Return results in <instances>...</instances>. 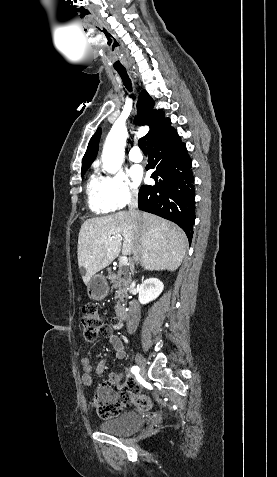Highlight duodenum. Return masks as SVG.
I'll list each match as a JSON object with an SVG mask.
<instances>
[{"label":"duodenum","mask_w":277,"mask_h":477,"mask_svg":"<svg viewBox=\"0 0 277 477\" xmlns=\"http://www.w3.org/2000/svg\"><path fill=\"white\" fill-rule=\"evenodd\" d=\"M116 315L119 321H124L127 319V310L124 306H118L116 309Z\"/></svg>","instance_id":"duodenum-1"}]
</instances>
